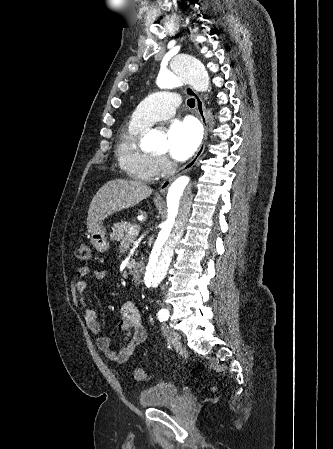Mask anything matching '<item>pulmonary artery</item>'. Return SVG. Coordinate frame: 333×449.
Instances as JSON below:
<instances>
[{"instance_id":"e3ab8cb5","label":"pulmonary artery","mask_w":333,"mask_h":449,"mask_svg":"<svg viewBox=\"0 0 333 449\" xmlns=\"http://www.w3.org/2000/svg\"><path fill=\"white\" fill-rule=\"evenodd\" d=\"M179 103L180 98L174 92H156L137 106L133 118L141 124L149 126L156 121L171 117Z\"/></svg>"}]
</instances>
